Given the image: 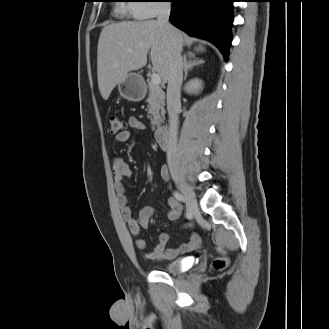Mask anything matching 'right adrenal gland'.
I'll list each match as a JSON object with an SVG mask.
<instances>
[{
	"label": "right adrenal gland",
	"instance_id": "right-adrenal-gland-1",
	"mask_svg": "<svg viewBox=\"0 0 329 329\" xmlns=\"http://www.w3.org/2000/svg\"><path fill=\"white\" fill-rule=\"evenodd\" d=\"M189 60L187 56H184L183 68H184V80L187 78L188 71L192 70L194 66L204 63V60L195 58L194 55H189Z\"/></svg>",
	"mask_w": 329,
	"mask_h": 329
}]
</instances>
